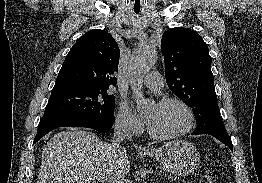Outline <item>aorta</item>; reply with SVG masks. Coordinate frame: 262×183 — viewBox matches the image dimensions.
I'll return each instance as SVG.
<instances>
[{"mask_svg":"<svg viewBox=\"0 0 262 183\" xmlns=\"http://www.w3.org/2000/svg\"><path fill=\"white\" fill-rule=\"evenodd\" d=\"M156 59V50L149 46L138 47L131 56L129 62V71L132 77L131 88L138 110H143L148 107L152 103V100L143 96L142 86L137 80L140 76L150 71L155 64Z\"/></svg>","mask_w":262,"mask_h":183,"instance_id":"1","label":"aorta"}]
</instances>
